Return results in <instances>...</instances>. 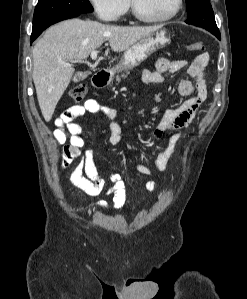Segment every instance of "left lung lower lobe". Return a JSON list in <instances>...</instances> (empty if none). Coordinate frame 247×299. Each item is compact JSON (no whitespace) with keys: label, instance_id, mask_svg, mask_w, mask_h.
I'll use <instances>...</instances> for the list:
<instances>
[{"label":"left lung lower lobe","instance_id":"obj_1","mask_svg":"<svg viewBox=\"0 0 247 299\" xmlns=\"http://www.w3.org/2000/svg\"><path fill=\"white\" fill-rule=\"evenodd\" d=\"M209 31V30H208ZM213 35H215L218 39H221L220 32L210 31Z\"/></svg>","mask_w":247,"mask_h":299}]
</instances>
